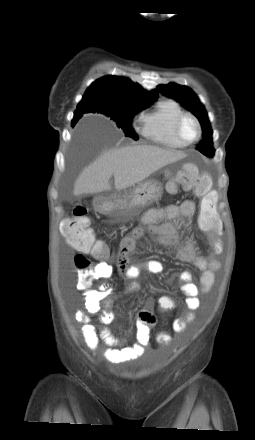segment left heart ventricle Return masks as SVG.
I'll use <instances>...</instances> for the list:
<instances>
[{
	"instance_id": "1",
	"label": "left heart ventricle",
	"mask_w": 255,
	"mask_h": 440,
	"mask_svg": "<svg viewBox=\"0 0 255 440\" xmlns=\"http://www.w3.org/2000/svg\"><path fill=\"white\" fill-rule=\"evenodd\" d=\"M181 133L187 140H193L196 136V126L192 120L187 119L181 126Z\"/></svg>"
}]
</instances>
